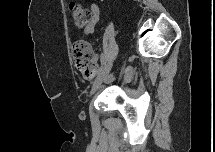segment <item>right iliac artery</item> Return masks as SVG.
Instances as JSON below:
<instances>
[{"label":"right iliac artery","mask_w":215,"mask_h":152,"mask_svg":"<svg viewBox=\"0 0 215 152\" xmlns=\"http://www.w3.org/2000/svg\"><path fill=\"white\" fill-rule=\"evenodd\" d=\"M105 66H106V59L104 57H102V59H101V67H100V70H99L98 74H100L103 71Z\"/></svg>","instance_id":"obj_1"}]
</instances>
